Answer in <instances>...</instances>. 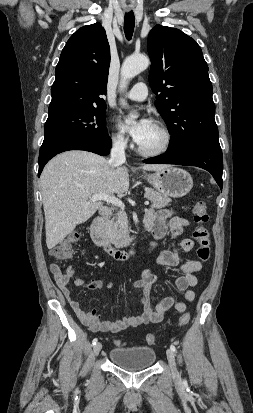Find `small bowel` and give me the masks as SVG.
Returning <instances> with one entry per match:
<instances>
[{"label": "small bowel", "mask_w": 253, "mask_h": 413, "mask_svg": "<svg viewBox=\"0 0 253 413\" xmlns=\"http://www.w3.org/2000/svg\"><path fill=\"white\" fill-rule=\"evenodd\" d=\"M144 222L156 240L163 238L168 230L174 239H178L183 233L184 228L191 226L187 219L174 214L171 210H150ZM154 246L155 244L152 243L151 249L154 248ZM193 247L194 242L190 238H184L180 240L179 248L165 250L155 259V263L160 265L180 267L182 275L176 279L175 285L186 301H193L195 298V293L192 290L198 283L195 273L202 269V264L196 260L180 263L179 251L190 253ZM50 272L78 319L93 332L117 333L128 328L161 322L172 309L177 312H184L186 310V304L183 301H177L173 296L164 298L156 308L153 309L151 307L149 292L151 286L156 282V276L150 269H145L141 278L133 282V287L142 293V314L135 317H124L114 322L106 321L97 314L95 309L84 311L69 289V283L77 287L85 286L91 290L99 289L104 285L102 281L94 280L85 283L83 279L76 276L73 265H69L66 273H63L58 264L52 263L50 265Z\"/></svg>", "instance_id": "c3829d8e"}]
</instances>
